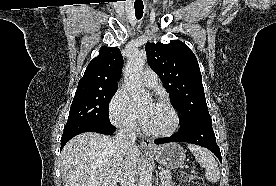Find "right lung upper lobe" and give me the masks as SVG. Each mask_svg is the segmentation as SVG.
Listing matches in <instances>:
<instances>
[{"mask_svg":"<svg viewBox=\"0 0 276 186\" xmlns=\"http://www.w3.org/2000/svg\"><path fill=\"white\" fill-rule=\"evenodd\" d=\"M123 58L116 47L102 46L78 83V89L118 88Z\"/></svg>","mask_w":276,"mask_h":186,"instance_id":"right-lung-upper-lobe-1","label":"right lung upper lobe"}]
</instances>
